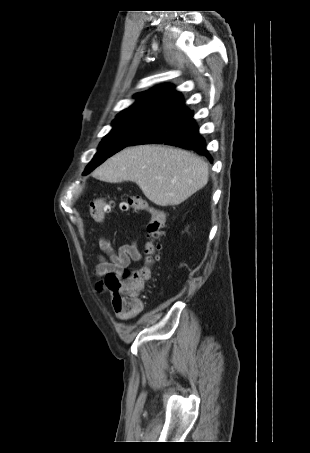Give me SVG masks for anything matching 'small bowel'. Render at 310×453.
Returning <instances> with one entry per match:
<instances>
[{"label":"small bowel","mask_w":310,"mask_h":453,"mask_svg":"<svg viewBox=\"0 0 310 453\" xmlns=\"http://www.w3.org/2000/svg\"><path fill=\"white\" fill-rule=\"evenodd\" d=\"M100 250L107 256L100 258L99 264L94 270L97 277H103L96 283V290L103 292L109 289L106 278L109 275H114L120 278L126 268L129 267L132 261H139L141 259V252L138 244L135 241L121 245L115 249L108 238L101 236L97 240ZM121 320H127L130 317H124L118 314Z\"/></svg>","instance_id":"c3829d8e"}]
</instances>
